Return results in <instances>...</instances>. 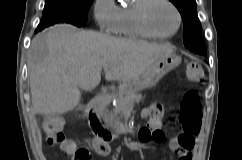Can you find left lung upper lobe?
Segmentation results:
<instances>
[{"label":"left lung upper lobe","mask_w":242,"mask_h":160,"mask_svg":"<svg viewBox=\"0 0 242 160\" xmlns=\"http://www.w3.org/2000/svg\"><path fill=\"white\" fill-rule=\"evenodd\" d=\"M179 10L183 20L184 45L189 50L206 57L207 50L202 38L201 23L197 16L195 0H170Z\"/></svg>","instance_id":"1"}]
</instances>
